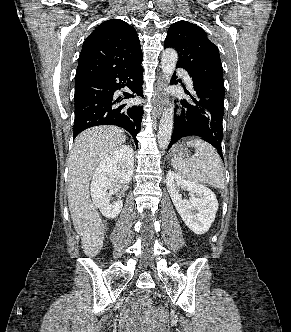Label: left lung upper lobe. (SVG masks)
<instances>
[{"label": "left lung upper lobe", "mask_w": 291, "mask_h": 332, "mask_svg": "<svg viewBox=\"0 0 291 332\" xmlns=\"http://www.w3.org/2000/svg\"><path fill=\"white\" fill-rule=\"evenodd\" d=\"M164 47L174 48L179 55L177 67L193 76L216 77L223 80L219 50L199 26L178 21L168 30Z\"/></svg>", "instance_id": "obj_1"}]
</instances>
